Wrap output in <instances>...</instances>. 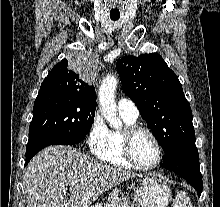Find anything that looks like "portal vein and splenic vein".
Returning <instances> with one entry per match:
<instances>
[{
  "instance_id": "18ae733b",
  "label": "portal vein and splenic vein",
  "mask_w": 220,
  "mask_h": 207,
  "mask_svg": "<svg viewBox=\"0 0 220 207\" xmlns=\"http://www.w3.org/2000/svg\"><path fill=\"white\" fill-rule=\"evenodd\" d=\"M78 183V181H72L71 182V187H73L75 184H77Z\"/></svg>"
}]
</instances>
